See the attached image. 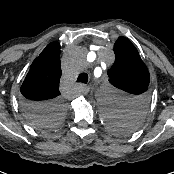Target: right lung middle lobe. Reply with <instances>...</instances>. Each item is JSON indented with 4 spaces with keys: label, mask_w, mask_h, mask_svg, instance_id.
Instances as JSON below:
<instances>
[{
    "label": "right lung middle lobe",
    "mask_w": 174,
    "mask_h": 174,
    "mask_svg": "<svg viewBox=\"0 0 174 174\" xmlns=\"http://www.w3.org/2000/svg\"><path fill=\"white\" fill-rule=\"evenodd\" d=\"M65 106L59 101L39 109L25 111L29 122L38 129H49L57 126L64 117Z\"/></svg>",
    "instance_id": "dd1d6c3e"
}]
</instances>
